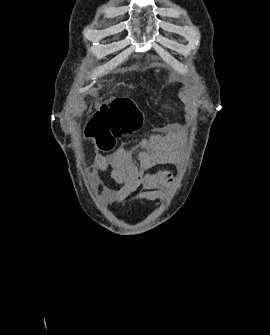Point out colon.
Masks as SVG:
<instances>
[{
  "instance_id": "colon-1",
  "label": "colon",
  "mask_w": 270,
  "mask_h": 335,
  "mask_svg": "<svg viewBox=\"0 0 270 335\" xmlns=\"http://www.w3.org/2000/svg\"><path fill=\"white\" fill-rule=\"evenodd\" d=\"M110 108L95 111V116L89 117L91 124L88 132L96 134L127 135L141 128L143 112L132 99H119L110 102ZM102 148H113V141H102Z\"/></svg>"
}]
</instances>
